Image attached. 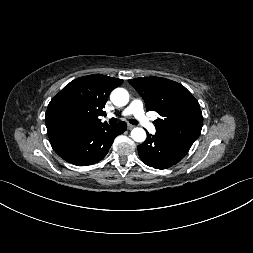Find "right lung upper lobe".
<instances>
[{
	"mask_svg": "<svg viewBox=\"0 0 253 253\" xmlns=\"http://www.w3.org/2000/svg\"><path fill=\"white\" fill-rule=\"evenodd\" d=\"M123 80L94 74L77 78L67 84L50 101L45 121L50 143L80 132L108 125L98 118L110 92L120 86ZM65 118L69 128L64 133L54 130V124Z\"/></svg>",
	"mask_w": 253,
	"mask_h": 253,
	"instance_id": "right-lung-upper-lobe-1",
	"label": "right lung upper lobe"
}]
</instances>
